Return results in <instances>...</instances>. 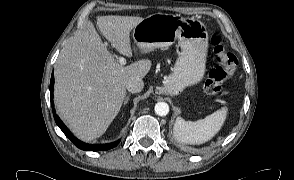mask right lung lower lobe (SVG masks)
<instances>
[{"label": "right lung lower lobe", "instance_id": "obj_1", "mask_svg": "<svg viewBox=\"0 0 294 180\" xmlns=\"http://www.w3.org/2000/svg\"><path fill=\"white\" fill-rule=\"evenodd\" d=\"M53 84H54V74L52 73L51 81H50V100H51L54 119L58 127L73 142V144H75L78 148L82 150H88V151H103V150L111 149L118 145V143L120 142L119 140L110 144L91 145V144L83 143L79 141L77 138H75L71 134V132L68 130V128L64 125V123L60 120L57 114L55 113L54 104H53V90H54Z\"/></svg>", "mask_w": 294, "mask_h": 180}]
</instances>
